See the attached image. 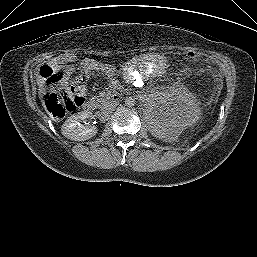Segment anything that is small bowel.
<instances>
[{
	"mask_svg": "<svg viewBox=\"0 0 257 257\" xmlns=\"http://www.w3.org/2000/svg\"><path fill=\"white\" fill-rule=\"evenodd\" d=\"M71 71V69L69 68L68 70H67V73H69Z\"/></svg>",
	"mask_w": 257,
	"mask_h": 257,
	"instance_id": "1",
	"label": "small bowel"
}]
</instances>
